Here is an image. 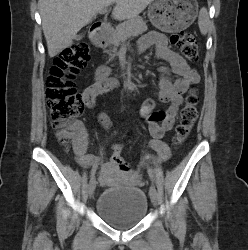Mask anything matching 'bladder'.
Masks as SVG:
<instances>
[{
  "label": "bladder",
  "mask_w": 248,
  "mask_h": 250,
  "mask_svg": "<svg viewBox=\"0 0 248 250\" xmlns=\"http://www.w3.org/2000/svg\"><path fill=\"white\" fill-rule=\"evenodd\" d=\"M95 210L107 224L124 230L143 220L148 212V200L138 187L113 186L99 195Z\"/></svg>",
  "instance_id": "bladder-1"
}]
</instances>
